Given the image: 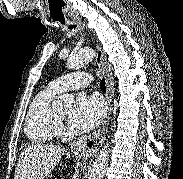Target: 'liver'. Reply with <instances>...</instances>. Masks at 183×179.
I'll use <instances>...</instances> for the list:
<instances>
[{"instance_id": "liver-1", "label": "liver", "mask_w": 183, "mask_h": 179, "mask_svg": "<svg viewBox=\"0 0 183 179\" xmlns=\"http://www.w3.org/2000/svg\"><path fill=\"white\" fill-rule=\"evenodd\" d=\"M64 155L60 146L37 144L28 146L20 155L14 179H44Z\"/></svg>"}]
</instances>
